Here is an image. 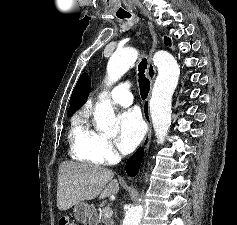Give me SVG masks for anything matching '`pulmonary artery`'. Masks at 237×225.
Instances as JSON below:
<instances>
[{
  "label": "pulmonary artery",
  "instance_id": "e3ab8cb5",
  "mask_svg": "<svg viewBox=\"0 0 237 225\" xmlns=\"http://www.w3.org/2000/svg\"><path fill=\"white\" fill-rule=\"evenodd\" d=\"M107 97L113 102L123 107H128L133 103V96L130 91V86L126 83L119 84L114 87Z\"/></svg>",
  "mask_w": 237,
  "mask_h": 225
}]
</instances>
